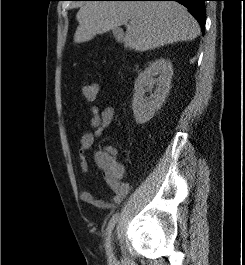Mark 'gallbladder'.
I'll list each match as a JSON object with an SVG mask.
<instances>
[{
  "mask_svg": "<svg viewBox=\"0 0 245 265\" xmlns=\"http://www.w3.org/2000/svg\"><path fill=\"white\" fill-rule=\"evenodd\" d=\"M121 33H122L121 29H119V28L113 29V35L114 36H116L117 34H121Z\"/></svg>",
  "mask_w": 245,
  "mask_h": 265,
  "instance_id": "gallbladder-1",
  "label": "gallbladder"
}]
</instances>
